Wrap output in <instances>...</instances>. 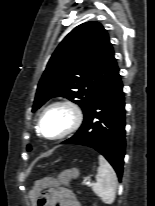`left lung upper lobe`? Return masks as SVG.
<instances>
[{"label":"left lung upper lobe","instance_id":"5c2ea615","mask_svg":"<svg viewBox=\"0 0 155 206\" xmlns=\"http://www.w3.org/2000/svg\"><path fill=\"white\" fill-rule=\"evenodd\" d=\"M117 69L106 30L95 21L83 23L63 39L51 56L38 84L32 111L48 99L62 96L77 103L85 113Z\"/></svg>","mask_w":155,"mask_h":206}]
</instances>
